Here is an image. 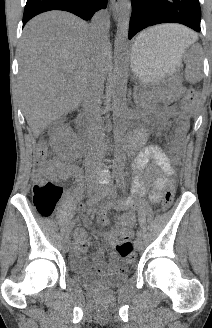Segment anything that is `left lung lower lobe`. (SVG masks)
I'll return each mask as SVG.
<instances>
[{
    "label": "left lung lower lobe",
    "mask_w": 212,
    "mask_h": 328,
    "mask_svg": "<svg viewBox=\"0 0 212 328\" xmlns=\"http://www.w3.org/2000/svg\"><path fill=\"white\" fill-rule=\"evenodd\" d=\"M133 11L129 39L144 28L161 23H180L200 32L199 0H131Z\"/></svg>",
    "instance_id": "0a47b994"
}]
</instances>
